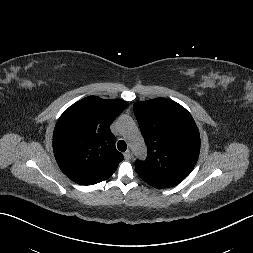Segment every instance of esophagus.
<instances>
[{
  "label": "esophagus",
  "mask_w": 253,
  "mask_h": 253,
  "mask_svg": "<svg viewBox=\"0 0 253 253\" xmlns=\"http://www.w3.org/2000/svg\"><path fill=\"white\" fill-rule=\"evenodd\" d=\"M131 156H132V153H131L130 150H127V151L124 153V158H125L126 160L131 159Z\"/></svg>",
  "instance_id": "34e87169"
}]
</instances>
